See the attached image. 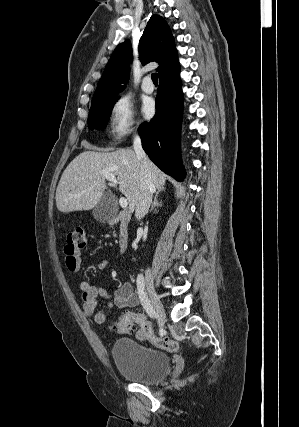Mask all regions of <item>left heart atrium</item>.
I'll return each mask as SVG.
<instances>
[{"mask_svg": "<svg viewBox=\"0 0 299 427\" xmlns=\"http://www.w3.org/2000/svg\"><path fill=\"white\" fill-rule=\"evenodd\" d=\"M143 113L146 117L152 116L154 113V103L151 100H148L143 105Z\"/></svg>", "mask_w": 299, "mask_h": 427, "instance_id": "obj_1", "label": "left heart atrium"}]
</instances>
